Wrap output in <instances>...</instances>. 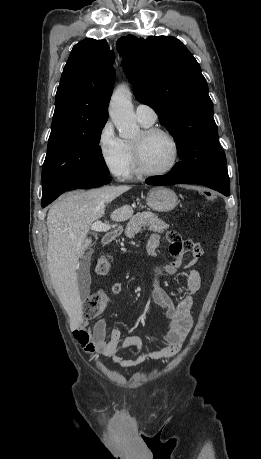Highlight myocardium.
<instances>
[{
	"label": "myocardium",
	"instance_id": "1",
	"mask_svg": "<svg viewBox=\"0 0 261 459\" xmlns=\"http://www.w3.org/2000/svg\"><path fill=\"white\" fill-rule=\"evenodd\" d=\"M141 133H142L143 138H149L156 134H162L166 136L172 144L173 157H172V161L166 168L162 170H150L143 163L140 143L133 142L132 150H133V157H134V162H135V167H136L137 172L144 176H161V175H165L171 172L175 168L179 160V144H178L176 137L167 129H164L161 127H154V126L146 127Z\"/></svg>",
	"mask_w": 261,
	"mask_h": 459
}]
</instances>
